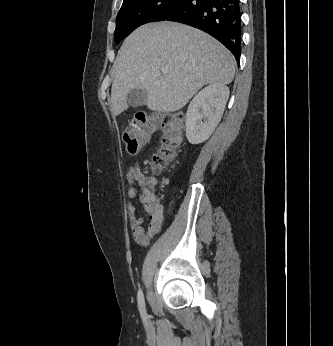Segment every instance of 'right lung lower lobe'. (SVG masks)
Instances as JSON below:
<instances>
[{"label": "right lung lower lobe", "instance_id": "right-lung-lower-lobe-1", "mask_svg": "<svg viewBox=\"0 0 333 346\" xmlns=\"http://www.w3.org/2000/svg\"><path fill=\"white\" fill-rule=\"evenodd\" d=\"M165 20L198 28L227 47L237 62L241 55L239 0H183Z\"/></svg>", "mask_w": 333, "mask_h": 346}]
</instances>
